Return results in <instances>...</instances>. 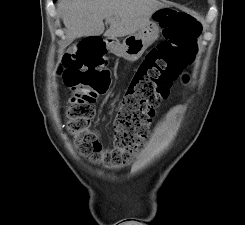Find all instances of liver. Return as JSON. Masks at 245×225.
<instances>
[{"instance_id": "obj_1", "label": "liver", "mask_w": 245, "mask_h": 225, "mask_svg": "<svg viewBox=\"0 0 245 225\" xmlns=\"http://www.w3.org/2000/svg\"><path fill=\"white\" fill-rule=\"evenodd\" d=\"M164 4L158 0H60L57 10L66 28V46L76 38L101 35L105 19L110 27L105 36L135 34Z\"/></svg>"}]
</instances>
